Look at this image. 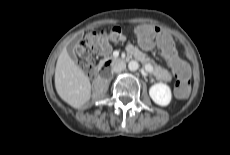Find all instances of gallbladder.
<instances>
[{"instance_id": "obj_1", "label": "gallbladder", "mask_w": 230, "mask_h": 155, "mask_svg": "<svg viewBox=\"0 0 230 155\" xmlns=\"http://www.w3.org/2000/svg\"><path fill=\"white\" fill-rule=\"evenodd\" d=\"M79 38L74 39L67 47V52L71 57H75V48Z\"/></svg>"}]
</instances>
